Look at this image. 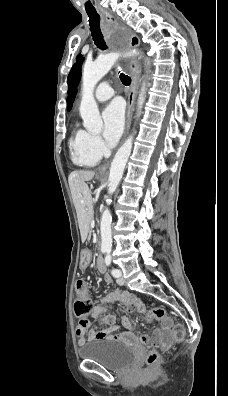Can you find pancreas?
<instances>
[{
	"label": "pancreas",
	"mask_w": 228,
	"mask_h": 396,
	"mask_svg": "<svg viewBox=\"0 0 228 396\" xmlns=\"http://www.w3.org/2000/svg\"><path fill=\"white\" fill-rule=\"evenodd\" d=\"M91 218H92V219H95V218H96V215H95V214H92V215H91ZM89 229L91 230L92 228L90 227ZM88 234H89V235H88V236H89L88 240H89V242H90L91 237H92V236L90 235V234H91V231H90Z\"/></svg>",
	"instance_id": "obj_1"
}]
</instances>
